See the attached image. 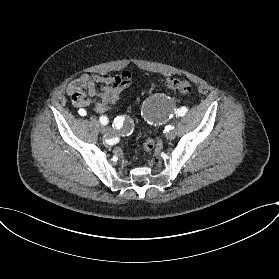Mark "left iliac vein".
<instances>
[{
  "label": "left iliac vein",
  "mask_w": 279,
  "mask_h": 279,
  "mask_svg": "<svg viewBox=\"0 0 279 279\" xmlns=\"http://www.w3.org/2000/svg\"><path fill=\"white\" fill-rule=\"evenodd\" d=\"M174 137H175V132H174V130H170V131H168V132L166 133V138H167V139L172 140V139H174Z\"/></svg>",
  "instance_id": "1"
}]
</instances>
